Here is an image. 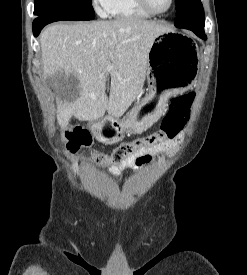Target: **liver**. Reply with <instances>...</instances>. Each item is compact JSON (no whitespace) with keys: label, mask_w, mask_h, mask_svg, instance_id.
<instances>
[{"label":"liver","mask_w":247,"mask_h":275,"mask_svg":"<svg viewBox=\"0 0 247 275\" xmlns=\"http://www.w3.org/2000/svg\"><path fill=\"white\" fill-rule=\"evenodd\" d=\"M168 31L161 24L137 18L47 27L40 36L44 76L63 72L73 74L80 83L78 94L57 100L59 126L66 128L72 116L97 120L106 111L121 117L144 85L151 43Z\"/></svg>","instance_id":"1"}]
</instances>
